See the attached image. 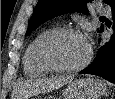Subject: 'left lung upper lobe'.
Listing matches in <instances>:
<instances>
[{"label": "left lung upper lobe", "mask_w": 115, "mask_h": 99, "mask_svg": "<svg viewBox=\"0 0 115 99\" xmlns=\"http://www.w3.org/2000/svg\"><path fill=\"white\" fill-rule=\"evenodd\" d=\"M92 0H39L28 24L26 36L47 20L69 12L88 13V4ZM111 7L115 0H103ZM103 30L101 26L100 31Z\"/></svg>", "instance_id": "1"}]
</instances>
